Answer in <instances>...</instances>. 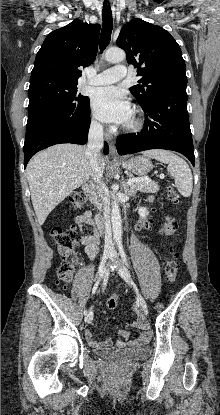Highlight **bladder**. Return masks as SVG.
<instances>
[{"mask_svg": "<svg viewBox=\"0 0 220 415\" xmlns=\"http://www.w3.org/2000/svg\"><path fill=\"white\" fill-rule=\"evenodd\" d=\"M150 348L148 346H138L124 350L118 349H97L96 353L101 358L113 363L123 364L135 360H140L149 355Z\"/></svg>", "mask_w": 220, "mask_h": 415, "instance_id": "obj_1", "label": "bladder"}]
</instances>
